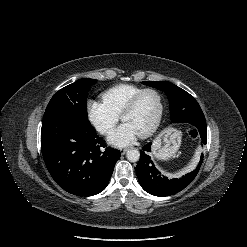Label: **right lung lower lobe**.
<instances>
[{
	"label": "right lung lower lobe",
	"mask_w": 247,
	"mask_h": 247,
	"mask_svg": "<svg viewBox=\"0 0 247 247\" xmlns=\"http://www.w3.org/2000/svg\"><path fill=\"white\" fill-rule=\"evenodd\" d=\"M41 150L46 167L55 182L77 196H93L109 183L117 149L106 147L87 117L65 109L44 113Z\"/></svg>",
	"instance_id": "98d812e1"
}]
</instances>
